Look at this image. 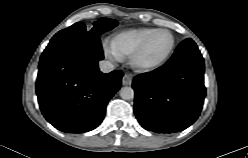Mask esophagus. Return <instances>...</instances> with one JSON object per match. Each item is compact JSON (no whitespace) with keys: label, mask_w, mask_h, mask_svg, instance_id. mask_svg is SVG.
<instances>
[{"label":"esophagus","mask_w":248,"mask_h":158,"mask_svg":"<svg viewBox=\"0 0 248 158\" xmlns=\"http://www.w3.org/2000/svg\"><path fill=\"white\" fill-rule=\"evenodd\" d=\"M133 77L129 74H125L122 78V84L125 86L131 85Z\"/></svg>","instance_id":"1"}]
</instances>
